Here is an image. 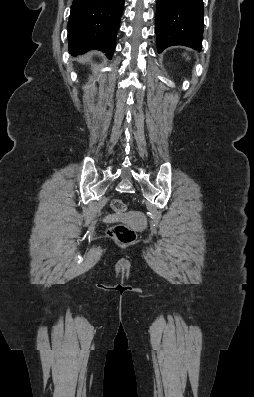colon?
Returning <instances> with one entry per match:
<instances>
[{
	"label": "colon",
	"instance_id": "5ec220e1",
	"mask_svg": "<svg viewBox=\"0 0 254 397\" xmlns=\"http://www.w3.org/2000/svg\"><path fill=\"white\" fill-rule=\"evenodd\" d=\"M111 209L117 214L125 213L128 209L127 204L122 199L112 200ZM108 235L116 242L121 244H131L136 239V233L130 227L124 224H116L108 229Z\"/></svg>",
	"mask_w": 254,
	"mask_h": 397
}]
</instances>
